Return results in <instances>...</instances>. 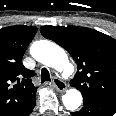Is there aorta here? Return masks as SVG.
Returning <instances> with one entry per match:
<instances>
[{
	"instance_id": "obj_1",
	"label": "aorta",
	"mask_w": 116,
	"mask_h": 116,
	"mask_svg": "<svg viewBox=\"0 0 116 116\" xmlns=\"http://www.w3.org/2000/svg\"><path fill=\"white\" fill-rule=\"evenodd\" d=\"M31 56L38 62L62 72L69 64L65 51L53 42L48 40L36 41L30 48ZM65 108L75 111L82 103V95L76 89H69L62 96Z\"/></svg>"
}]
</instances>
